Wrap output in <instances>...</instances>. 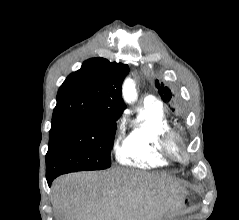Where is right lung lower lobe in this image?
Masks as SVG:
<instances>
[{
	"mask_svg": "<svg viewBox=\"0 0 239 220\" xmlns=\"http://www.w3.org/2000/svg\"><path fill=\"white\" fill-rule=\"evenodd\" d=\"M53 177H47V182H48V185L50 186L51 185V182L53 181Z\"/></svg>",
	"mask_w": 239,
	"mask_h": 220,
	"instance_id": "1",
	"label": "right lung lower lobe"
}]
</instances>
